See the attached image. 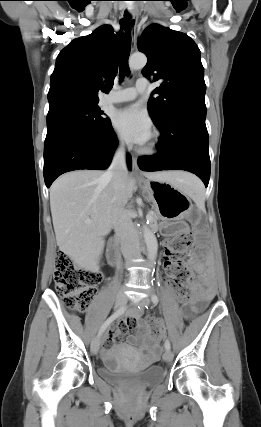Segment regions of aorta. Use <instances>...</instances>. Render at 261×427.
I'll return each instance as SVG.
<instances>
[{"label": "aorta", "instance_id": "762f6f07", "mask_svg": "<svg viewBox=\"0 0 261 427\" xmlns=\"http://www.w3.org/2000/svg\"><path fill=\"white\" fill-rule=\"evenodd\" d=\"M147 63V57L144 54H134L129 59V68L131 70L142 69ZM143 236L147 247L148 259L153 263L157 257L158 242L154 232L147 227L143 226Z\"/></svg>", "mask_w": 261, "mask_h": 427}]
</instances>
